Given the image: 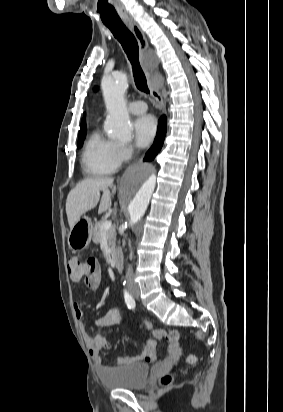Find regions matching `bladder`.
I'll return each mask as SVG.
<instances>
[{"mask_svg": "<svg viewBox=\"0 0 283 412\" xmlns=\"http://www.w3.org/2000/svg\"><path fill=\"white\" fill-rule=\"evenodd\" d=\"M149 374L150 367L146 364H128L108 368L100 379L107 388L135 390L147 384Z\"/></svg>", "mask_w": 283, "mask_h": 412, "instance_id": "bladder-1", "label": "bladder"}]
</instances>
